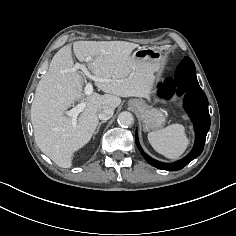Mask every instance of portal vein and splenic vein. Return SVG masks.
Masks as SVG:
<instances>
[{
	"label": "portal vein and splenic vein",
	"mask_w": 236,
	"mask_h": 236,
	"mask_svg": "<svg viewBox=\"0 0 236 236\" xmlns=\"http://www.w3.org/2000/svg\"><path fill=\"white\" fill-rule=\"evenodd\" d=\"M91 58H86V62L90 61ZM82 70V72L84 73V75L90 80H94V81H99V82H103L106 81L105 79H101V78H97L94 75H92L90 73V71L86 68L85 64L83 63H76L73 70ZM84 92L85 95H91L93 93V85L91 82L86 83V86L84 88ZM85 109V104L84 103H80L77 106H75L74 108H72L69 111L65 112V115L72 117V123L73 125H76L77 123V116L79 115V113H81L83 110Z\"/></svg>",
	"instance_id": "obj_1"
}]
</instances>
